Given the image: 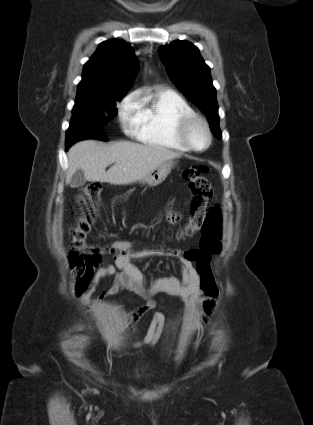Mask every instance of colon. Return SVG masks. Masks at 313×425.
Wrapping results in <instances>:
<instances>
[{
	"label": "colon",
	"mask_w": 313,
	"mask_h": 425,
	"mask_svg": "<svg viewBox=\"0 0 313 425\" xmlns=\"http://www.w3.org/2000/svg\"><path fill=\"white\" fill-rule=\"evenodd\" d=\"M208 168L205 165H192L183 171L193 195L190 203L189 218L179 231L178 239H184L201 231V242L198 248L187 249L186 259L191 261L199 276L200 288L206 298L215 299L219 289L211 269V255L222 248V216L217 207L208 209L207 204L213 196V187L205 176ZM100 184L91 183L80 191L82 212L71 229L69 261L74 274L82 278L96 265L103 254H112L114 250L108 247L91 245L87 242L95 217L100 207Z\"/></svg>",
	"instance_id": "1"
}]
</instances>
